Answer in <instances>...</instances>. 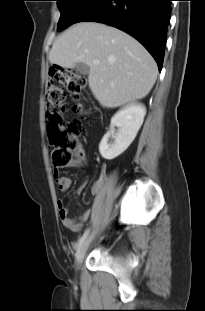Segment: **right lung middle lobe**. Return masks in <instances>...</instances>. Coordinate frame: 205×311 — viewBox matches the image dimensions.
Listing matches in <instances>:
<instances>
[{"label": "right lung middle lobe", "mask_w": 205, "mask_h": 311, "mask_svg": "<svg viewBox=\"0 0 205 311\" xmlns=\"http://www.w3.org/2000/svg\"><path fill=\"white\" fill-rule=\"evenodd\" d=\"M61 17L57 31H61L74 24L77 19L88 9L94 0H56Z\"/></svg>", "instance_id": "obj_1"}]
</instances>
